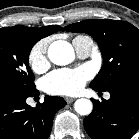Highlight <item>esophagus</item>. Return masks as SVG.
Returning <instances> with one entry per match:
<instances>
[{
	"instance_id": "obj_1",
	"label": "esophagus",
	"mask_w": 139,
	"mask_h": 139,
	"mask_svg": "<svg viewBox=\"0 0 139 139\" xmlns=\"http://www.w3.org/2000/svg\"><path fill=\"white\" fill-rule=\"evenodd\" d=\"M65 100H66L67 103L70 104V103H72L75 99H74V98H71V97H66Z\"/></svg>"
}]
</instances>
